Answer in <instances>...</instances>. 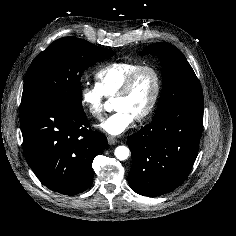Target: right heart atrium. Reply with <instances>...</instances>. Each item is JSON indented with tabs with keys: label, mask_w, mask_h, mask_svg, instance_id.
I'll list each match as a JSON object with an SVG mask.
<instances>
[{
	"label": "right heart atrium",
	"mask_w": 236,
	"mask_h": 236,
	"mask_svg": "<svg viewBox=\"0 0 236 236\" xmlns=\"http://www.w3.org/2000/svg\"><path fill=\"white\" fill-rule=\"evenodd\" d=\"M80 99L83 107L96 119H101L105 111V96L97 85L85 84L80 88Z\"/></svg>",
	"instance_id": "d8ad5b80"
}]
</instances>
